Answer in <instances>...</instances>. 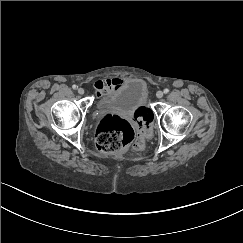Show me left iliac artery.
<instances>
[{"label": "left iliac artery", "instance_id": "44dca946", "mask_svg": "<svg viewBox=\"0 0 243 243\" xmlns=\"http://www.w3.org/2000/svg\"><path fill=\"white\" fill-rule=\"evenodd\" d=\"M169 92V89H164V93L167 94Z\"/></svg>", "mask_w": 243, "mask_h": 243}]
</instances>
